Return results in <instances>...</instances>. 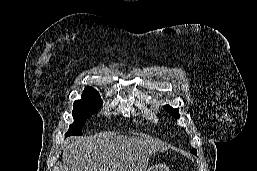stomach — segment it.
Returning <instances> with one entry per match:
<instances>
[{"label":"stomach","instance_id":"1","mask_svg":"<svg viewBox=\"0 0 257 171\" xmlns=\"http://www.w3.org/2000/svg\"><path fill=\"white\" fill-rule=\"evenodd\" d=\"M147 171H169L164 165H155L149 168Z\"/></svg>","mask_w":257,"mask_h":171}]
</instances>
